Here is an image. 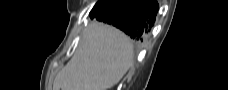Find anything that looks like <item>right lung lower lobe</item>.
<instances>
[{
    "label": "right lung lower lobe",
    "instance_id": "right-lung-lower-lobe-1",
    "mask_svg": "<svg viewBox=\"0 0 228 90\" xmlns=\"http://www.w3.org/2000/svg\"><path fill=\"white\" fill-rule=\"evenodd\" d=\"M158 9L156 0H104L100 7L94 6L89 16L119 28L141 43L154 25Z\"/></svg>",
    "mask_w": 228,
    "mask_h": 90
}]
</instances>
